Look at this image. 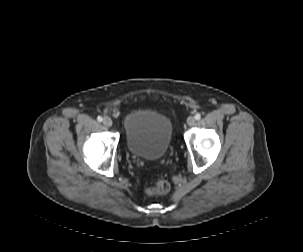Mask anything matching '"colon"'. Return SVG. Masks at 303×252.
Listing matches in <instances>:
<instances>
[{
	"label": "colon",
	"mask_w": 303,
	"mask_h": 252,
	"mask_svg": "<svg viewBox=\"0 0 303 252\" xmlns=\"http://www.w3.org/2000/svg\"><path fill=\"white\" fill-rule=\"evenodd\" d=\"M170 190V184L166 180H159L156 184L148 189L150 195H165Z\"/></svg>",
	"instance_id": "1"
}]
</instances>
